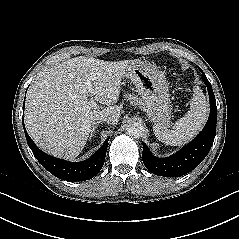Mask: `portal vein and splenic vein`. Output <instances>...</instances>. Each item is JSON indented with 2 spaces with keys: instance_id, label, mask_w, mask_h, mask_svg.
Returning a JSON list of instances; mask_svg holds the SVG:
<instances>
[{
  "instance_id": "obj_1",
  "label": "portal vein and splenic vein",
  "mask_w": 239,
  "mask_h": 239,
  "mask_svg": "<svg viewBox=\"0 0 239 239\" xmlns=\"http://www.w3.org/2000/svg\"><path fill=\"white\" fill-rule=\"evenodd\" d=\"M86 86H87L88 90L92 93V87H91L92 85L90 83H86ZM89 104L92 107H97V104H96V102H95V100H94V98L92 96L90 98Z\"/></svg>"
}]
</instances>
